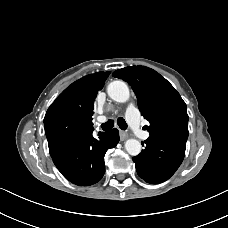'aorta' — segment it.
Segmentation results:
<instances>
[{"instance_id":"1","label":"aorta","mask_w":228,"mask_h":228,"mask_svg":"<svg viewBox=\"0 0 228 228\" xmlns=\"http://www.w3.org/2000/svg\"><path fill=\"white\" fill-rule=\"evenodd\" d=\"M107 93L111 99L120 103L128 101L130 96L129 88L123 81L111 82L107 87ZM125 149L130 155L137 156L141 152V143L136 139H128L125 142Z\"/></svg>"}]
</instances>
